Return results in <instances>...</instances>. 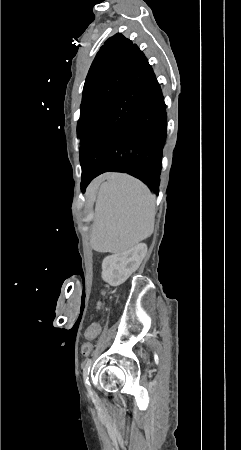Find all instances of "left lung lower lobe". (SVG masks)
<instances>
[{
    "label": "left lung lower lobe",
    "instance_id": "1",
    "mask_svg": "<svg viewBox=\"0 0 241 450\" xmlns=\"http://www.w3.org/2000/svg\"><path fill=\"white\" fill-rule=\"evenodd\" d=\"M166 131L160 85L133 45L120 94L95 121L80 151L82 191L98 175L115 171L135 176L158 193Z\"/></svg>",
    "mask_w": 241,
    "mask_h": 450
}]
</instances>
